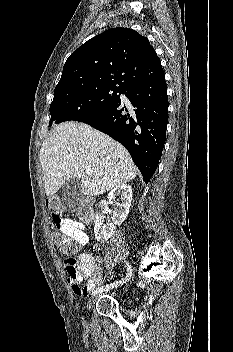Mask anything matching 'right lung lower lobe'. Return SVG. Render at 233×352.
<instances>
[{
    "instance_id": "98d812e1",
    "label": "right lung lower lobe",
    "mask_w": 233,
    "mask_h": 352,
    "mask_svg": "<svg viewBox=\"0 0 233 352\" xmlns=\"http://www.w3.org/2000/svg\"><path fill=\"white\" fill-rule=\"evenodd\" d=\"M131 105L121 99L78 121L108 134L130 153L145 183L153 176L165 143L168 97L164 74L153 81L125 89Z\"/></svg>"
}]
</instances>
